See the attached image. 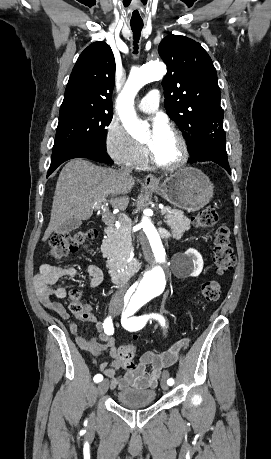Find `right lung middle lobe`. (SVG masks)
I'll return each mask as SVG.
<instances>
[{
  "label": "right lung middle lobe",
  "instance_id": "1",
  "mask_svg": "<svg viewBox=\"0 0 271 459\" xmlns=\"http://www.w3.org/2000/svg\"><path fill=\"white\" fill-rule=\"evenodd\" d=\"M112 117L113 113L102 112L60 113L53 151L77 143L105 147V127Z\"/></svg>",
  "mask_w": 271,
  "mask_h": 459
}]
</instances>
